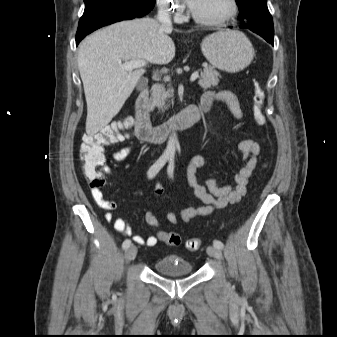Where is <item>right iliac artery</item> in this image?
Segmentation results:
<instances>
[{"mask_svg": "<svg viewBox=\"0 0 337 337\" xmlns=\"http://www.w3.org/2000/svg\"><path fill=\"white\" fill-rule=\"evenodd\" d=\"M169 157L167 155H162L148 170L147 175L149 179H152L155 177V175L160 171V169L166 164L168 161ZM131 245V240L126 239L122 247L123 249L129 248Z\"/></svg>", "mask_w": 337, "mask_h": 337, "instance_id": "obj_1", "label": "right iliac artery"}]
</instances>
